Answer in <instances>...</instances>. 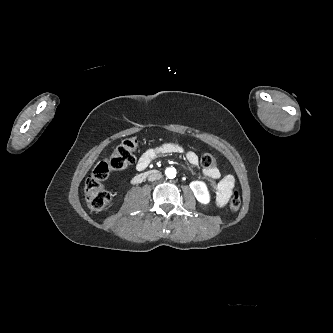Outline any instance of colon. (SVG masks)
I'll use <instances>...</instances> for the list:
<instances>
[{
    "instance_id": "colon-1",
    "label": "colon",
    "mask_w": 333,
    "mask_h": 333,
    "mask_svg": "<svg viewBox=\"0 0 333 333\" xmlns=\"http://www.w3.org/2000/svg\"><path fill=\"white\" fill-rule=\"evenodd\" d=\"M139 140L129 138L124 140L111 154V156L99 162L85 182L84 190L86 201L89 208L93 211L103 210L110 202L109 193L102 187L111 172L126 169L135 161V153L138 148ZM204 168L215 167L216 160L210 153H205L201 158ZM241 205V198L237 191L233 192L230 200V208L237 211Z\"/></svg>"
}]
</instances>
